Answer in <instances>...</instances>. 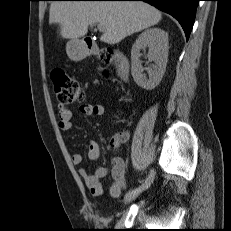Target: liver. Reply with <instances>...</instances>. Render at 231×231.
I'll use <instances>...</instances> for the list:
<instances>
[{
  "instance_id": "1",
  "label": "liver",
  "mask_w": 231,
  "mask_h": 231,
  "mask_svg": "<svg viewBox=\"0 0 231 231\" xmlns=\"http://www.w3.org/2000/svg\"><path fill=\"white\" fill-rule=\"evenodd\" d=\"M161 12L144 2L129 1H55L51 3L49 23L59 24L63 38L77 40L88 26L102 24L100 40L114 45L126 37L156 25Z\"/></svg>"
}]
</instances>
